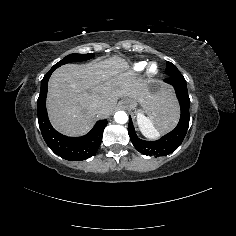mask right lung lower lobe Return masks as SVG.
Listing matches in <instances>:
<instances>
[{
  "instance_id": "right-lung-lower-lobe-1",
  "label": "right lung lower lobe",
  "mask_w": 236,
  "mask_h": 236,
  "mask_svg": "<svg viewBox=\"0 0 236 236\" xmlns=\"http://www.w3.org/2000/svg\"><path fill=\"white\" fill-rule=\"evenodd\" d=\"M55 69H52L41 81L40 95L37 100L38 122L42 136L49 148L60 157L70 161H80L92 157L98 150L106 120L98 121L94 128L82 137H67L58 133L50 124L46 111L47 83Z\"/></svg>"
}]
</instances>
